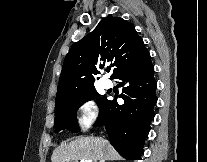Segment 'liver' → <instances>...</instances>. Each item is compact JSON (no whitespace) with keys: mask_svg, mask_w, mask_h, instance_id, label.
I'll return each mask as SVG.
<instances>
[{"mask_svg":"<svg viewBox=\"0 0 207 162\" xmlns=\"http://www.w3.org/2000/svg\"><path fill=\"white\" fill-rule=\"evenodd\" d=\"M120 157L112 145L101 137H79L57 147L51 156L52 162H78L79 160H118Z\"/></svg>","mask_w":207,"mask_h":162,"instance_id":"obj_1","label":"liver"}]
</instances>
